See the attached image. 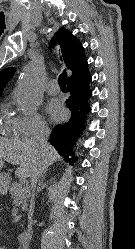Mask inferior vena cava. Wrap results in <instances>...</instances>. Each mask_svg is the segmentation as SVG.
Returning a JSON list of instances; mask_svg holds the SVG:
<instances>
[{"label": "inferior vena cava", "instance_id": "1", "mask_svg": "<svg viewBox=\"0 0 135 249\" xmlns=\"http://www.w3.org/2000/svg\"><path fill=\"white\" fill-rule=\"evenodd\" d=\"M49 135H50V129L46 126H40L38 130L35 132L32 138V142L38 147L39 150H45L48 146ZM42 172H43V167L39 166L31 176L32 195L30 201V210L28 214V219H29L28 230L24 246H27L30 235L32 233V214H33V207L35 204V193H36L37 183L39 181L40 176L42 175Z\"/></svg>", "mask_w": 135, "mask_h": 249}]
</instances>
